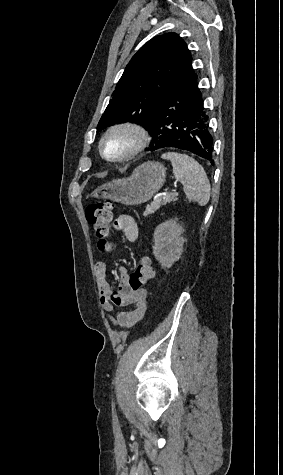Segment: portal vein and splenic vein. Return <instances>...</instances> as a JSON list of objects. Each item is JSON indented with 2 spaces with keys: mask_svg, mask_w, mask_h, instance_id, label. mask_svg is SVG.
<instances>
[{
  "mask_svg": "<svg viewBox=\"0 0 283 475\" xmlns=\"http://www.w3.org/2000/svg\"><path fill=\"white\" fill-rule=\"evenodd\" d=\"M181 193H182L181 191L176 190V189H173L170 191V194L175 196L176 198H179Z\"/></svg>",
  "mask_w": 283,
  "mask_h": 475,
  "instance_id": "18ae733b",
  "label": "portal vein and splenic vein"
}]
</instances>
